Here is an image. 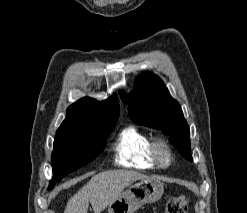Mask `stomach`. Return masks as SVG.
I'll return each instance as SVG.
<instances>
[{
    "label": "stomach",
    "instance_id": "stomach-1",
    "mask_svg": "<svg viewBox=\"0 0 247 213\" xmlns=\"http://www.w3.org/2000/svg\"><path fill=\"white\" fill-rule=\"evenodd\" d=\"M164 192V186L157 178H145L129 186L109 205L108 213H134L144 204L157 202Z\"/></svg>",
    "mask_w": 247,
    "mask_h": 213
}]
</instances>
